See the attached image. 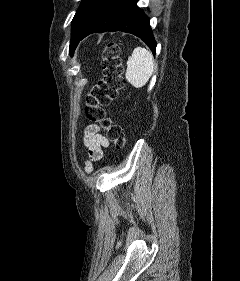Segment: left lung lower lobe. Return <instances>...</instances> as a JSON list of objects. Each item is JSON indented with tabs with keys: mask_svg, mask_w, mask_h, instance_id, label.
I'll return each mask as SVG.
<instances>
[{
	"mask_svg": "<svg viewBox=\"0 0 240 281\" xmlns=\"http://www.w3.org/2000/svg\"><path fill=\"white\" fill-rule=\"evenodd\" d=\"M137 1L103 0L84 25L76 41V47L89 34L123 31L141 38L155 54L156 42L151 31L149 18L136 5Z\"/></svg>",
	"mask_w": 240,
	"mask_h": 281,
	"instance_id": "obj_1",
	"label": "left lung lower lobe"
}]
</instances>
